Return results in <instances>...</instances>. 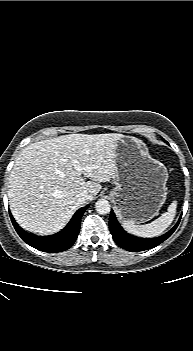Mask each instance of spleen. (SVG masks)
<instances>
[{
	"instance_id": "obj_1",
	"label": "spleen",
	"mask_w": 193,
	"mask_h": 351,
	"mask_svg": "<svg viewBox=\"0 0 193 351\" xmlns=\"http://www.w3.org/2000/svg\"><path fill=\"white\" fill-rule=\"evenodd\" d=\"M177 201H173L167 212L163 213L159 218L151 223L137 225L131 221H123L124 229L136 236L150 238L162 234L173 222L176 215Z\"/></svg>"
}]
</instances>
